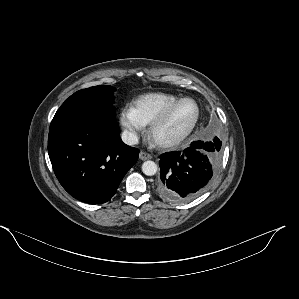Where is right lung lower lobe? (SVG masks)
<instances>
[{"label": "right lung lower lobe", "mask_w": 299, "mask_h": 299, "mask_svg": "<svg viewBox=\"0 0 299 299\" xmlns=\"http://www.w3.org/2000/svg\"><path fill=\"white\" fill-rule=\"evenodd\" d=\"M48 153L57 179L70 195L102 204L116 193L139 150L122 142L114 118L80 117L50 129Z\"/></svg>", "instance_id": "right-lung-lower-lobe-1"}]
</instances>
